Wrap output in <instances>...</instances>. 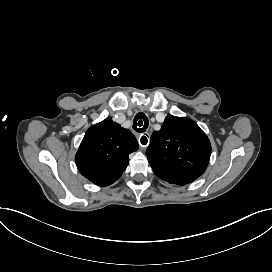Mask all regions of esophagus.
<instances>
[{"label": "esophagus", "mask_w": 272, "mask_h": 272, "mask_svg": "<svg viewBox=\"0 0 272 272\" xmlns=\"http://www.w3.org/2000/svg\"><path fill=\"white\" fill-rule=\"evenodd\" d=\"M139 145L143 149L147 148L149 145V135L148 134H142L139 136Z\"/></svg>", "instance_id": "1"}]
</instances>
